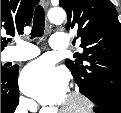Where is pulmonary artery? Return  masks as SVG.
<instances>
[{"label": "pulmonary artery", "instance_id": "1", "mask_svg": "<svg viewBox=\"0 0 121 113\" xmlns=\"http://www.w3.org/2000/svg\"><path fill=\"white\" fill-rule=\"evenodd\" d=\"M50 46L54 50L63 51L67 49V35L55 33L50 39ZM39 50L36 46L23 42L18 47L7 53V59L12 61H25L36 57Z\"/></svg>", "mask_w": 121, "mask_h": 113}]
</instances>
